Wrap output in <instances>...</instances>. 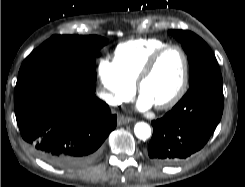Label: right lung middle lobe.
<instances>
[{
	"label": "right lung middle lobe",
	"mask_w": 245,
	"mask_h": 187,
	"mask_svg": "<svg viewBox=\"0 0 245 187\" xmlns=\"http://www.w3.org/2000/svg\"><path fill=\"white\" fill-rule=\"evenodd\" d=\"M107 40L103 37L54 35L24 60L19 75L36 69H58L96 80L95 59Z\"/></svg>",
	"instance_id": "right-lung-middle-lobe-1"
}]
</instances>
